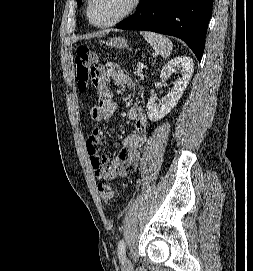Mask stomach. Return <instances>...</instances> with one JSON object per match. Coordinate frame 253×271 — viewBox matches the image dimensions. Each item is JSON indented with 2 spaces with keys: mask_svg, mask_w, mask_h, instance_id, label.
Returning a JSON list of instances; mask_svg holds the SVG:
<instances>
[{
  "mask_svg": "<svg viewBox=\"0 0 253 271\" xmlns=\"http://www.w3.org/2000/svg\"><path fill=\"white\" fill-rule=\"evenodd\" d=\"M108 45L111 47H126L127 46V40L122 38V37H115L112 38L109 42Z\"/></svg>",
  "mask_w": 253,
  "mask_h": 271,
  "instance_id": "0dacf381",
  "label": "stomach"
}]
</instances>
